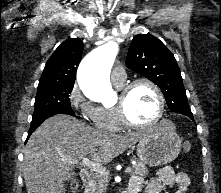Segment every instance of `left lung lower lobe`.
Listing matches in <instances>:
<instances>
[{"label": "left lung lower lobe", "mask_w": 221, "mask_h": 193, "mask_svg": "<svg viewBox=\"0 0 221 193\" xmlns=\"http://www.w3.org/2000/svg\"><path fill=\"white\" fill-rule=\"evenodd\" d=\"M194 121L193 115H186Z\"/></svg>", "instance_id": "left-lung-lower-lobe-1"}]
</instances>
